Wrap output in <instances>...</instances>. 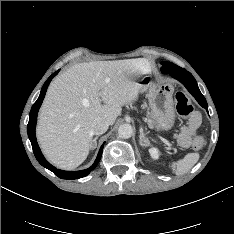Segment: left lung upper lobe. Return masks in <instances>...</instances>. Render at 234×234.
I'll return each mask as SVG.
<instances>
[{"label": "left lung upper lobe", "mask_w": 234, "mask_h": 234, "mask_svg": "<svg viewBox=\"0 0 234 234\" xmlns=\"http://www.w3.org/2000/svg\"><path fill=\"white\" fill-rule=\"evenodd\" d=\"M161 64H162L161 70L175 69L179 67L171 62H161Z\"/></svg>", "instance_id": "left-lung-upper-lobe-1"}]
</instances>
